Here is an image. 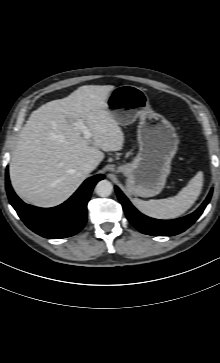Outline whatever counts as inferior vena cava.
I'll return each instance as SVG.
<instances>
[{"instance_id": "inferior-vena-cava-1", "label": "inferior vena cava", "mask_w": 220, "mask_h": 363, "mask_svg": "<svg viewBox=\"0 0 220 363\" xmlns=\"http://www.w3.org/2000/svg\"><path fill=\"white\" fill-rule=\"evenodd\" d=\"M96 168V165L93 162H86L84 163L83 167H82V171L85 174H89L90 172H92L94 169Z\"/></svg>"}]
</instances>
